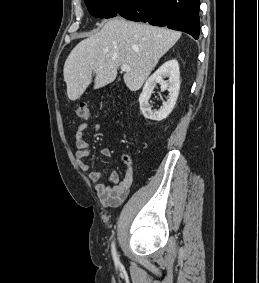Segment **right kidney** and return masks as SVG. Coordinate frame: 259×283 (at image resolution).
Instances as JSON below:
<instances>
[{"mask_svg":"<svg viewBox=\"0 0 259 283\" xmlns=\"http://www.w3.org/2000/svg\"><path fill=\"white\" fill-rule=\"evenodd\" d=\"M165 77L169 79L164 80ZM159 83L163 90H168L169 97L163 102L159 110H152L149 99L156 84ZM180 89V71L178 61L171 59L165 62L146 81L143 91L139 97L140 110L146 119L161 121L165 119L173 110Z\"/></svg>","mask_w":259,"mask_h":283,"instance_id":"obj_1","label":"right kidney"}]
</instances>
